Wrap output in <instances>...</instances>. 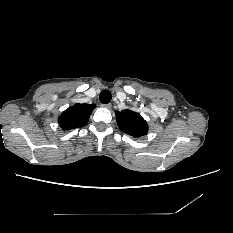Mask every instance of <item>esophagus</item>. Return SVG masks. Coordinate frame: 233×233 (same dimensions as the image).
Returning a JSON list of instances; mask_svg holds the SVG:
<instances>
[{
    "label": "esophagus",
    "mask_w": 233,
    "mask_h": 233,
    "mask_svg": "<svg viewBox=\"0 0 233 233\" xmlns=\"http://www.w3.org/2000/svg\"><path fill=\"white\" fill-rule=\"evenodd\" d=\"M101 107H103L105 109H111L112 105L110 103H108V104H101Z\"/></svg>",
    "instance_id": "1"
}]
</instances>
